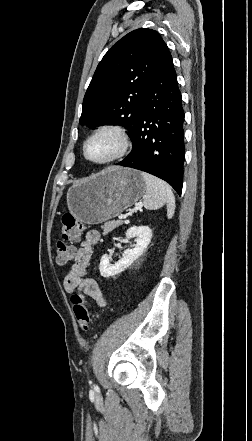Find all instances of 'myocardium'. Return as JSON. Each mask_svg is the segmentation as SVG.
I'll use <instances>...</instances> for the list:
<instances>
[{
	"label": "myocardium",
	"instance_id": "obj_1",
	"mask_svg": "<svg viewBox=\"0 0 252 441\" xmlns=\"http://www.w3.org/2000/svg\"><path fill=\"white\" fill-rule=\"evenodd\" d=\"M102 134H110L114 136L118 141V148L114 154H112L110 157L106 159H102V160L91 159L87 154V145L92 139ZM130 149H131V139L126 129L117 125L105 124L96 128L86 138V140L83 143L82 153L84 158L92 164L110 165L123 159L129 153Z\"/></svg>",
	"mask_w": 252,
	"mask_h": 441
}]
</instances>
